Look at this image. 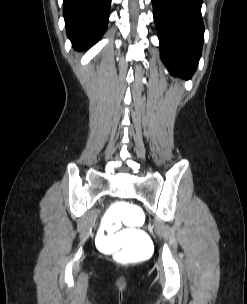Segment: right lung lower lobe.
Wrapping results in <instances>:
<instances>
[{
  "mask_svg": "<svg viewBox=\"0 0 247 304\" xmlns=\"http://www.w3.org/2000/svg\"><path fill=\"white\" fill-rule=\"evenodd\" d=\"M111 0H63L66 31L77 50L90 48L106 31Z\"/></svg>",
  "mask_w": 247,
  "mask_h": 304,
  "instance_id": "98d812e1",
  "label": "right lung lower lobe"
}]
</instances>
